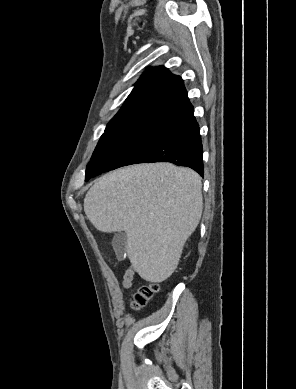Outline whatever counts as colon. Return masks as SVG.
<instances>
[{"instance_id":"1","label":"colon","mask_w":296,"mask_h":389,"mask_svg":"<svg viewBox=\"0 0 296 389\" xmlns=\"http://www.w3.org/2000/svg\"><path fill=\"white\" fill-rule=\"evenodd\" d=\"M158 288V285L154 283L141 286L133 296L132 307L134 309L144 307L158 291Z\"/></svg>"}]
</instances>
